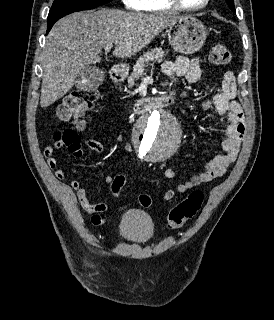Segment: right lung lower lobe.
Returning a JSON list of instances; mask_svg holds the SVG:
<instances>
[{
    "mask_svg": "<svg viewBox=\"0 0 274 320\" xmlns=\"http://www.w3.org/2000/svg\"><path fill=\"white\" fill-rule=\"evenodd\" d=\"M56 21H57V20H56ZM56 21L47 22L48 28H47V33H46V34H48V32L51 30L52 26L54 25V23H55Z\"/></svg>",
    "mask_w": 274,
    "mask_h": 320,
    "instance_id": "98d812e1",
    "label": "right lung lower lobe"
}]
</instances>
